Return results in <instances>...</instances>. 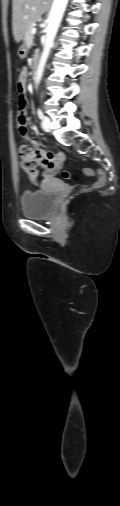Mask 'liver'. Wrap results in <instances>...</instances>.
Masks as SVG:
<instances>
[{
    "label": "liver",
    "instance_id": "obj_1",
    "mask_svg": "<svg viewBox=\"0 0 120 506\" xmlns=\"http://www.w3.org/2000/svg\"><path fill=\"white\" fill-rule=\"evenodd\" d=\"M49 0H13L12 28L16 42H20L28 26L47 9Z\"/></svg>",
    "mask_w": 120,
    "mask_h": 506
}]
</instances>
